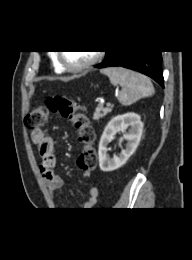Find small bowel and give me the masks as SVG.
<instances>
[{
  "mask_svg": "<svg viewBox=\"0 0 192 260\" xmlns=\"http://www.w3.org/2000/svg\"><path fill=\"white\" fill-rule=\"evenodd\" d=\"M31 140L37 147V153L40 158V171L42 179L51 192H56L64 186V181L54 172L56 165L55 145L53 139L45 130L39 129L31 133ZM90 175V171L85 170L83 176ZM99 190L97 187H91L88 198L83 204L84 210L93 208L97 202Z\"/></svg>",
  "mask_w": 192,
  "mask_h": 260,
  "instance_id": "obj_1",
  "label": "small bowel"
}]
</instances>
